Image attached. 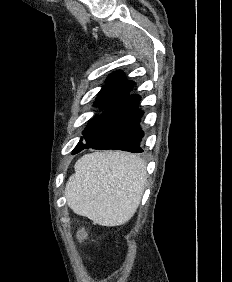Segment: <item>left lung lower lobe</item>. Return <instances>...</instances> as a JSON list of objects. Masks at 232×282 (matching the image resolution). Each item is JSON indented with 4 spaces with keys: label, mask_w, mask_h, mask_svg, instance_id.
Instances as JSON below:
<instances>
[{
    "label": "left lung lower lobe",
    "mask_w": 232,
    "mask_h": 282,
    "mask_svg": "<svg viewBox=\"0 0 232 282\" xmlns=\"http://www.w3.org/2000/svg\"><path fill=\"white\" fill-rule=\"evenodd\" d=\"M133 85V81H128L113 95L99 115L89 140L78 144L73 154L87 148L143 152L140 147L143 131L139 126L143 111L137 108L140 96L128 95Z\"/></svg>",
    "instance_id": "left-lung-lower-lobe-1"
}]
</instances>
